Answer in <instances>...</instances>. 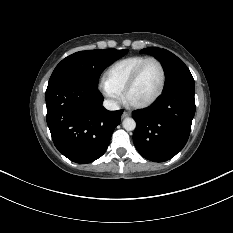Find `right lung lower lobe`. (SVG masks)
Here are the masks:
<instances>
[{
  "mask_svg": "<svg viewBox=\"0 0 233 233\" xmlns=\"http://www.w3.org/2000/svg\"><path fill=\"white\" fill-rule=\"evenodd\" d=\"M90 84L61 80L46 90L47 124L54 145L76 163H90L106 151L122 110L108 111Z\"/></svg>",
  "mask_w": 233,
  "mask_h": 233,
  "instance_id": "obj_1",
  "label": "right lung lower lobe"
}]
</instances>
